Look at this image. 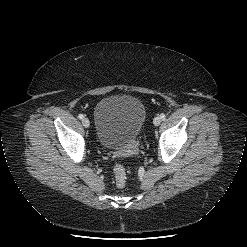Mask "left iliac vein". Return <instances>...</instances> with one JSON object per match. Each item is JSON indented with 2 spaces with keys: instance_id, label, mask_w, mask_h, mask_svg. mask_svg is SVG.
I'll use <instances>...</instances> for the list:
<instances>
[{
  "instance_id": "4c4485c4",
  "label": "left iliac vein",
  "mask_w": 247,
  "mask_h": 247,
  "mask_svg": "<svg viewBox=\"0 0 247 247\" xmlns=\"http://www.w3.org/2000/svg\"><path fill=\"white\" fill-rule=\"evenodd\" d=\"M153 123L155 126H159L161 123V117L157 116L154 118Z\"/></svg>"
}]
</instances>
